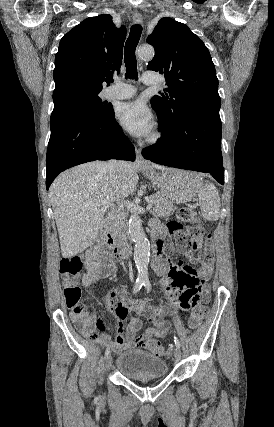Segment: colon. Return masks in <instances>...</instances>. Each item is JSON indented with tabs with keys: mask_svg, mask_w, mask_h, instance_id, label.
<instances>
[{
	"mask_svg": "<svg viewBox=\"0 0 274 427\" xmlns=\"http://www.w3.org/2000/svg\"><path fill=\"white\" fill-rule=\"evenodd\" d=\"M178 220L173 224L172 234L175 245L172 248H190L193 241L198 240L201 243L200 248H213V242L210 235L199 224V217L196 210L190 206L181 208L178 212ZM183 223L188 227L184 228ZM172 248L167 253H172ZM82 256L74 254L62 257L59 263V273L63 277V296L64 303L69 310L79 312L82 306V291L78 285V276L82 270ZM189 328L192 330H201V318L208 317V310L205 305L194 306ZM141 350L154 352L159 359H170L171 352L163 347L162 342L155 339H145L140 342Z\"/></svg>",
	"mask_w": 274,
	"mask_h": 427,
	"instance_id": "5ec220e1",
	"label": "colon"
}]
</instances>
